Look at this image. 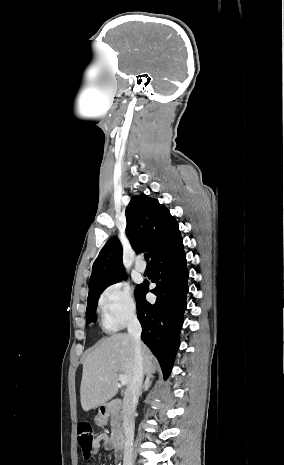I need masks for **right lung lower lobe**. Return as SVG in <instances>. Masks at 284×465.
Returning a JSON list of instances; mask_svg holds the SVG:
<instances>
[{
    "mask_svg": "<svg viewBox=\"0 0 284 465\" xmlns=\"http://www.w3.org/2000/svg\"><path fill=\"white\" fill-rule=\"evenodd\" d=\"M186 263L180 237L151 260L152 282L156 283L151 292L157 296L156 302L151 304L145 298L148 282L138 285L135 290L137 315L142 326L141 338L158 359L165 379L171 372L180 345L179 335L189 290Z\"/></svg>",
    "mask_w": 284,
    "mask_h": 465,
    "instance_id": "98d812e1",
    "label": "right lung lower lobe"
}]
</instances>
